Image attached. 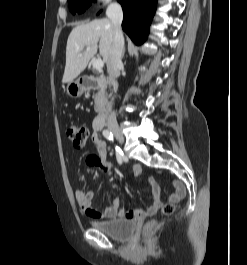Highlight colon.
<instances>
[{
  "mask_svg": "<svg viewBox=\"0 0 247 265\" xmlns=\"http://www.w3.org/2000/svg\"><path fill=\"white\" fill-rule=\"evenodd\" d=\"M66 134L76 149L85 148L90 136V132L87 127L74 124L67 127ZM174 211L175 205L172 202L165 204L162 208L164 215H171ZM153 226V222L148 224V228H152Z\"/></svg>",
  "mask_w": 247,
  "mask_h": 265,
  "instance_id": "obj_1",
  "label": "colon"
}]
</instances>
